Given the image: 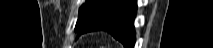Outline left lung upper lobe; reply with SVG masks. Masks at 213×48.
I'll return each mask as SVG.
<instances>
[{"label": "left lung upper lobe", "instance_id": "5c2ea615", "mask_svg": "<svg viewBox=\"0 0 213 48\" xmlns=\"http://www.w3.org/2000/svg\"><path fill=\"white\" fill-rule=\"evenodd\" d=\"M114 1L115 0H87L79 9V18L75 30L82 32L97 12L110 6Z\"/></svg>", "mask_w": 213, "mask_h": 48}]
</instances>
